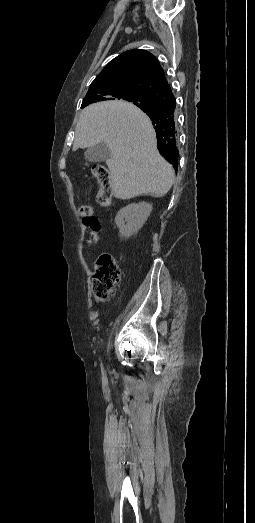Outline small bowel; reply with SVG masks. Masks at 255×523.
Listing matches in <instances>:
<instances>
[{"instance_id":"1","label":"small bowel","mask_w":255,"mask_h":523,"mask_svg":"<svg viewBox=\"0 0 255 523\" xmlns=\"http://www.w3.org/2000/svg\"><path fill=\"white\" fill-rule=\"evenodd\" d=\"M86 226L89 229L87 246H95L100 241V223L96 218H94L92 222L86 224Z\"/></svg>"}]
</instances>
